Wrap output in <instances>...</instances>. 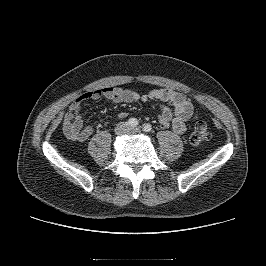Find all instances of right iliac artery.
Returning a JSON list of instances; mask_svg holds the SVG:
<instances>
[{"instance_id":"obj_1","label":"right iliac artery","mask_w":266,"mask_h":266,"mask_svg":"<svg viewBox=\"0 0 266 266\" xmlns=\"http://www.w3.org/2000/svg\"><path fill=\"white\" fill-rule=\"evenodd\" d=\"M127 123L131 127H136L139 124L136 118H130Z\"/></svg>"}]
</instances>
